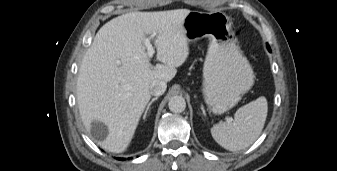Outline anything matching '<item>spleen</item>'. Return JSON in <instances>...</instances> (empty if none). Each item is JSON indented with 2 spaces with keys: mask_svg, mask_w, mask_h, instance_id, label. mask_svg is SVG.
Segmentation results:
<instances>
[{
  "mask_svg": "<svg viewBox=\"0 0 337 171\" xmlns=\"http://www.w3.org/2000/svg\"><path fill=\"white\" fill-rule=\"evenodd\" d=\"M268 112L264 96L240 107L234 120L219 122L211 128L213 139L229 151H239L252 145L262 132Z\"/></svg>",
  "mask_w": 337,
  "mask_h": 171,
  "instance_id": "3e777b00",
  "label": "spleen"
}]
</instances>
